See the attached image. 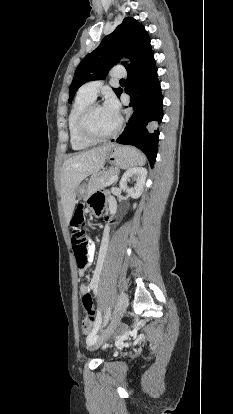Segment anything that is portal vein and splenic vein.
<instances>
[{"instance_id": "18ae733b", "label": "portal vein and splenic vein", "mask_w": 233, "mask_h": 414, "mask_svg": "<svg viewBox=\"0 0 233 414\" xmlns=\"http://www.w3.org/2000/svg\"><path fill=\"white\" fill-rule=\"evenodd\" d=\"M116 180H117V176H113V177L110 179V181L108 182V184H107V185H111V184H113Z\"/></svg>"}]
</instances>
